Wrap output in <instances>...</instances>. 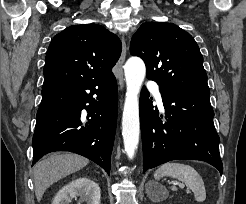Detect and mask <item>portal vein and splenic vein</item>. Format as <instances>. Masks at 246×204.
<instances>
[{
	"label": "portal vein and splenic vein",
	"instance_id": "18ae733b",
	"mask_svg": "<svg viewBox=\"0 0 246 204\" xmlns=\"http://www.w3.org/2000/svg\"><path fill=\"white\" fill-rule=\"evenodd\" d=\"M180 187H181V188H184V184H180Z\"/></svg>",
	"mask_w": 246,
	"mask_h": 204
}]
</instances>
